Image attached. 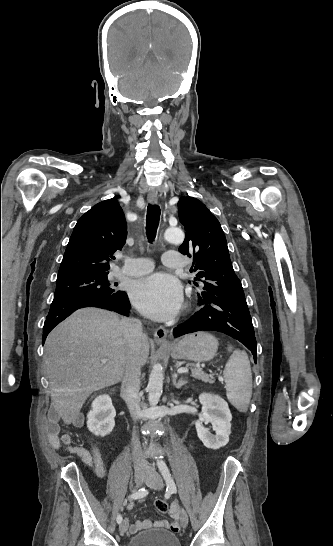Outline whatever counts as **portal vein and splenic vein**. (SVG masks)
<instances>
[{"instance_id":"obj_1","label":"portal vein and splenic vein","mask_w":333,"mask_h":546,"mask_svg":"<svg viewBox=\"0 0 333 546\" xmlns=\"http://www.w3.org/2000/svg\"><path fill=\"white\" fill-rule=\"evenodd\" d=\"M101 362H102V363H106L107 360H106V359H102ZM177 372L180 373V374H181V373H187V372H188V369H187V368H184V367H181V368L177 369Z\"/></svg>"}]
</instances>
